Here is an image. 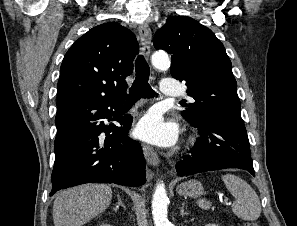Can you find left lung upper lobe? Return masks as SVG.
Instances as JSON below:
<instances>
[{
	"instance_id": "5c2ea615",
	"label": "left lung upper lobe",
	"mask_w": 297,
	"mask_h": 226,
	"mask_svg": "<svg viewBox=\"0 0 297 226\" xmlns=\"http://www.w3.org/2000/svg\"><path fill=\"white\" fill-rule=\"evenodd\" d=\"M153 44L172 54V76L186 81L187 93L196 101L182 112L188 122L211 116L241 118L231 61L210 29L190 17H169Z\"/></svg>"
}]
</instances>
